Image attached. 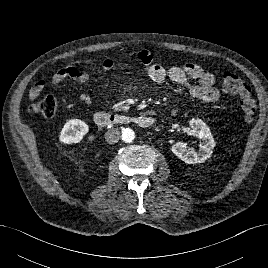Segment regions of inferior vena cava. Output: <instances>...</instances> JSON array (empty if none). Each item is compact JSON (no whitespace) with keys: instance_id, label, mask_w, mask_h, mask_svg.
I'll use <instances>...</instances> for the list:
<instances>
[{"instance_id":"inferior-vena-cava-1","label":"inferior vena cava","mask_w":268,"mask_h":268,"mask_svg":"<svg viewBox=\"0 0 268 268\" xmlns=\"http://www.w3.org/2000/svg\"><path fill=\"white\" fill-rule=\"evenodd\" d=\"M121 138L119 129L112 128L105 133V139L109 144H114Z\"/></svg>"}]
</instances>
